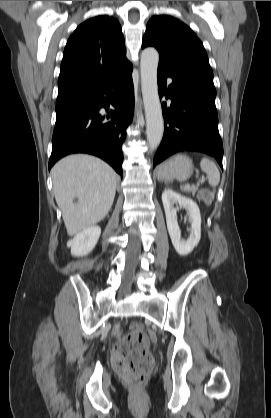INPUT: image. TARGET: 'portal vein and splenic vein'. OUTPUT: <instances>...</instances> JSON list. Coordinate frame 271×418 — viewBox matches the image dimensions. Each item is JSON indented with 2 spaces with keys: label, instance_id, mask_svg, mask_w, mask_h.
Instances as JSON below:
<instances>
[{
  "label": "portal vein and splenic vein",
  "instance_id": "obj_1",
  "mask_svg": "<svg viewBox=\"0 0 271 418\" xmlns=\"http://www.w3.org/2000/svg\"><path fill=\"white\" fill-rule=\"evenodd\" d=\"M203 181H204V178H202V179H201V182H203ZM189 187H190V185H189V184H186V185H185V188H189Z\"/></svg>",
  "mask_w": 271,
  "mask_h": 418
}]
</instances>
